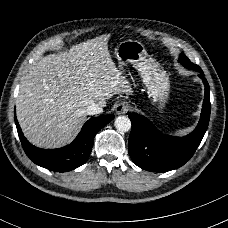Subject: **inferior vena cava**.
<instances>
[{
	"label": "inferior vena cava",
	"instance_id": "1",
	"mask_svg": "<svg viewBox=\"0 0 228 228\" xmlns=\"http://www.w3.org/2000/svg\"><path fill=\"white\" fill-rule=\"evenodd\" d=\"M103 112V108L100 107L97 103H93L86 108L87 115H96L101 114Z\"/></svg>",
	"mask_w": 228,
	"mask_h": 228
}]
</instances>
